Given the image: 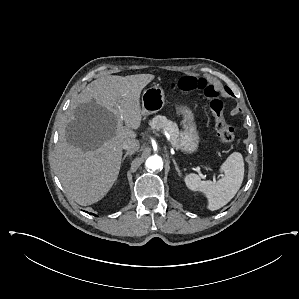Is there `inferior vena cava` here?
Here are the masks:
<instances>
[{"instance_id":"1","label":"inferior vena cava","mask_w":299,"mask_h":299,"mask_svg":"<svg viewBox=\"0 0 299 299\" xmlns=\"http://www.w3.org/2000/svg\"><path fill=\"white\" fill-rule=\"evenodd\" d=\"M140 147V143L138 140L136 139H126L123 141L122 143V148L127 150V151H130V152H135L139 149Z\"/></svg>"}]
</instances>
